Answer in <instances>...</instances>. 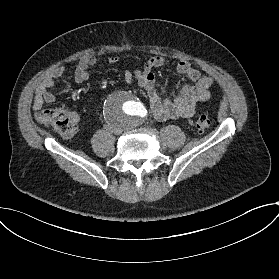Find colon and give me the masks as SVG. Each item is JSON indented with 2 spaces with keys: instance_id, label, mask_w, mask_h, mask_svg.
Wrapping results in <instances>:
<instances>
[{
  "instance_id": "5ec220e1",
  "label": "colon",
  "mask_w": 279,
  "mask_h": 279,
  "mask_svg": "<svg viewBox=\"0 0 279 279\" xmlns=\"http://www.w3.org/2000/svg\"><path fill=\"white\" fill-rule=\"evenodd\" d=\"M39 122L63 137L74 135L78 127L74 124L73 118L66 110L46 109L38 113ZM212 125L211 119L207 114H200L196 121V128L199 132H206Z\"/></svg>"
}]
</instances>
